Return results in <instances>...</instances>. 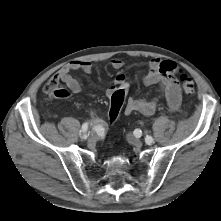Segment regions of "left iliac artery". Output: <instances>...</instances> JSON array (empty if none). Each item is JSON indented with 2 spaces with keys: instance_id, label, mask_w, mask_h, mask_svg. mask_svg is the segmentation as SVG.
<instances>
[{
  "instance_id": "1",
  "label": "left iliac artery",
  "mask_w": 221,
  "mask_h": 221,
  "mask_svg": "<svg viewBox=\"0 0 221 221\" xmlns=\"http://www.w3.org/2000/svg\"><path fill=\"white\" fill-rule=\"evenodd\" d=\"M140 133H141L140 130H136V131H135V135H136V136H139ZM152 140H153V138H152L151 136H148V135H147V136L145 137V142H146L148 145L152 143Z\"/></svg>"
}]
</instances>
